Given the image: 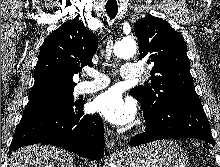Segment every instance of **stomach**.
<instances>
[{"instance_id": "0dacf381", "label": "stomach", "mask_w": 220, "mask_h": 167, "mask_svg": "<svg viewBox=\"0 0 220 167\" xmlns=\"http://www.w3.org/2000/svg\"><path fill=\"white\" fill-rule=\"evenodd\" d=\"M125 167H189L183 150L172 141H156L125 151Z\"/></svg>"}]
</instances>
